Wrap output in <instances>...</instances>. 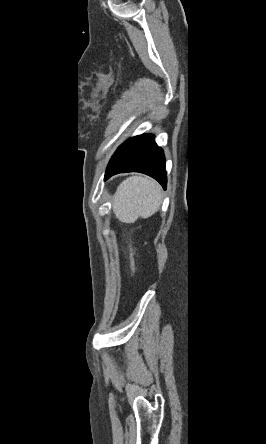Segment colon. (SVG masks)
Segmentation results:
<instances>
[{
	"label": "colon",
	"mask_w": 266,
	"mask_h": 444,
	"mask_svg": "<svg viewBox=\"0 0 266 444\" xmlns=\"http://www.w3.org/2000/svg\"><path fill=\"white\" fill-rule=\"evenodd\" d=\"M130 265H131V273L134 275L136 270V258H135V247L133 241L130 242Z\"/></svg>",
	"instance_id": "1"
}]
</instances>
